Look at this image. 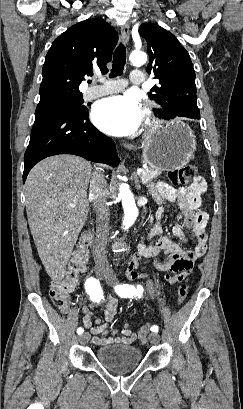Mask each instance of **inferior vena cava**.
Masks as SVG:
<instances>
[{"label":"inferior vena cava","instance_id":"obj_1","mask_svg":"<svg viewBox=\"0 0 243 409\" xmlns=\"http://www.w3.org/2000/svg\"><path fill=\"white\" fill-rule=\"evenodd\" d=\"M89 196L94 200L96 213V238L93 245V256L97 268L108 270L105 246L109 235V208L107 205L108 188L104 175L95 171L91 175Z\"/></svg>","mask_w":243,"mask_h":409}]
</instances>
